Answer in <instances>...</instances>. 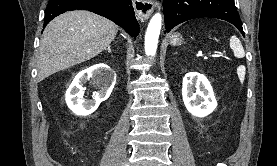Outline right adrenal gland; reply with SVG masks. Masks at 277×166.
I'll list each match as a JSON object with an SVG mask.
<instances>
[{"label":"right adrenal gland","mask_w":277,"mask_h":166,"mask_svg":"<svg viewBox=\"0 0 277 166\" xmlns=\"http://www.w3.org/2000/svg\"><path fill=\"white\" fill-rule=\"evenodd\" d=\"M107 51H108V53H111V52H112L110 46L107 48Z\"/></svg>","instance_id":"right-adrenal-gland-1"}]
</instances>
